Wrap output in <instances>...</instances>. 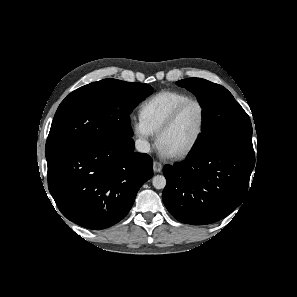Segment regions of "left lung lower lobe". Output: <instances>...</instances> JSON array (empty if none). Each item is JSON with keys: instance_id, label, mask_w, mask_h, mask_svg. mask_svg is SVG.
I'll return each instance as SVG.
<instances>
[{"instance_id": "left-lung-lower-lobe-1", "label": "left lung lower lobe", "mask_w": 297, "mask_h": 297, "mask_svg": "<svg viewBox=\"0 0 297 297\" xmlns=\"http://www.w3.org/2000/svg\"><path fill=\"white\" fill-rule=\"evenodd\" d=\"M255 155L212 148L163 168V202L178 221L214 223L232 212L247 195Z\"/></svg>"}]
</instances>
